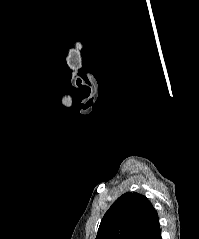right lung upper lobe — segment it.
<instances>
[{
	"mask_svg": "<svg viewBox=\"0 0 199 239\" xmlns=\"http://www.w3.org/2000/svg\"><path fill=\"white\" fill-rule=\"evenodd\" d=\"M158 222L157 212L145 196L127 192L105 213L96 239H142Z\"/></svg>",
	"mask_w": 199,
	"mask_h": 239,
	"instance_id": "right-lung-upper-lobe-1",
	"label": "right lung upper lobe"
}]
</instances>
